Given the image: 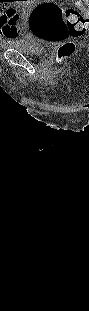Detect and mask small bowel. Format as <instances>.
I'll return each mask as SVG.
<instances>
[{"label": "small bowel", "instance_id": "obj_1", "mask_svg": "<svg viewBox=\"0 0 89 311\" xmlns=\"http://www.w3.org/2000/svg\"><path fill=\"white\" fill-rule=\"evenodd\" d=\"M11 31V33H9ZM18 29L16 28L14 31V28L5 27L3 31V37L5 39L4 45H7L11 41H13L18 36Z\"/></svg>", "mask_w": 89, "mask_h": 311}]
</instances>
